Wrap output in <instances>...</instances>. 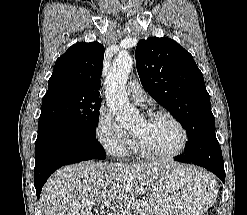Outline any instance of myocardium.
Returning <instances> with one entry per match:
<instances>
[{
	"label": "myocardium",
	"instance_id": "f54148a6",
	"mask_svg": "<svg viewBox=\"0 0 247 215\" xmlns=\"http://www.w3.org/2000/svg\"><path fill=\"white\" fill-rule=\"evenodd\" d=\"M159 118L169 119L170 121H172L177 126V128L179 129V131L181 133V143H180L179 148L172 153L157 154V153H153L152 151H150L147 148L143 139L139 135L132 133V136H133L135 146H136L138 153L143 158L148 159V160H152V161H165V160H170V159H173V158L180 156L184 152V150L186 149L187 144H188V140H189V135H188L187 129L185 128L184 124L176 116H174L170 112L154 111V112H151L146 117L145 120L146 121H152V120H156Z\"/></svg>",
	"mask_w": 247,
	"mask_h": 215
}]
</instances>
